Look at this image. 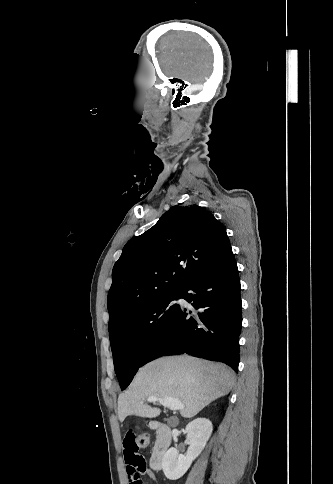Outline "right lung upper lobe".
Wrapping results in <instances>:
<instances>
[{
    "instance_id": "1",
    "label": "right lung upper lobe",
    "mask_w": 333,
    "mask_h": 484,
    "mask_svg": "<svg viewBox=\"0 0 333 484\" xmlns=\"http://www.w3.org/2000/svg\"><path fill=\"white\" fill-rule=\"evenodd\" d=\"M225 226L194 204L173 206L124 246L112 271L109 325L156 297L181 291L228 246Z\"/></svg>"
}]
</instances>
